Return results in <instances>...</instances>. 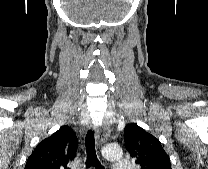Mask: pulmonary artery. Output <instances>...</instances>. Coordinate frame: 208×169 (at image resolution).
I'll return each instance as SVG.
<instances>
[{"mask_svg":"<svg viewBox=\"0 0 208 169\" xmlns=\"http://www.w3.org/2000/svg\"><path fill=\"white\" fill-rule=\"evenodd\" d=\"M112 167L113 169H132L133 165L130 160L117 159Z\"/></svg>","mask_w":208,"mask_h":169,"instance_id":"pulmonary-artery-1","label":"pulmonary artery"}]
</instances>
